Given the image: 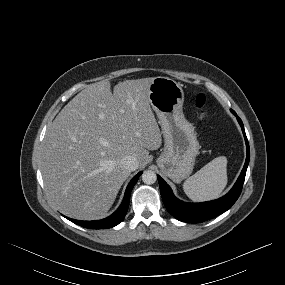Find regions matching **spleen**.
Wrapping results in <instances>:
<instances>
[{
    "label": "spleen",
    "mask_w": 285,
    "mask_h": 285,
    "mask_svg": "<svg viewBox=\"0 0 285 285\" xmlns=\"http://www.w3.org/2000/svg\"><path fill=\"white\" fill-rule=\"evenodd\" d=\"M227 182V158L219 156L189 177L183 190L193 201H209L221 195Z\"/></svg>",
    "instance_id": "3e777b00"
}]
</instances>
